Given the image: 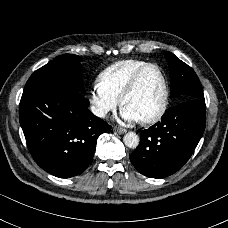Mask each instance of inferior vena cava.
<instances>
[{
	"label": "inferior vena cava",
	"instance_id": "602c4592",
	"mask_svg": "<svg viewBox=\"0 0 228 228\" xmlns=\"http://www.w3.org/2000/svg\"><path fill=\"white\" fill-rule=\"evenodd\" d=\"M92 112H93L96 116L101 117V118H103V117H105V116L107 115V112H106V111H104V110H102V109H98V108H96V107H92Z\"/></svg>",
	"mask_w": 228,
	"mask_h": 228
}]
</instances>
